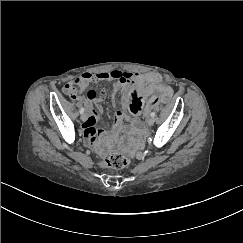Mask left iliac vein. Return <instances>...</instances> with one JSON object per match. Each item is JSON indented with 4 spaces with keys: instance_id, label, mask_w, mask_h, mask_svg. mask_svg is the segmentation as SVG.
Segmentation results:
<instances>
[{
    "instance_id": "left-iliac-vein-1",
    "label": "left iliac vein",
    "mask_w": 243,
    "mask_h": 243,
    "mask_svg": "<svg viewBox=\"0 0 243 243\" xmlns=\"http://www.w3.org/2000/svg\"><path fill=\"white\" fill-rule=\"evenodd\" d=\"M154 122H155V119H154L153 117L148 118V120H147V124H148L149 126H152V125L154 124Z\"/></svg>"
}]
</instances>
